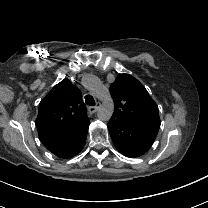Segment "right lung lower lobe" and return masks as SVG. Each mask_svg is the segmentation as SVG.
<instances>
[{
  "label": "right lung lower lobe",
  "mask_w": 208,
  "mask_h": 208,
  "mask_svg": "<svg viewBox=\"0 0 208 208\" xmlns=\"http://www.w3.org/2000/svg\"><path fill=\"white\" fill-rule=\"evenodd\" d=\"M89 128V122L79 129L61 137L42 140L44 146L60 158H71L77 155L84 147Z\"/></svg>",
  "instance_id": "98d812e1"
}]
</instances>
